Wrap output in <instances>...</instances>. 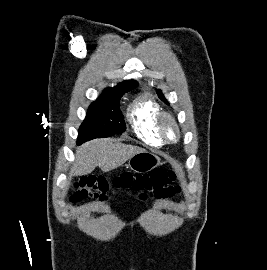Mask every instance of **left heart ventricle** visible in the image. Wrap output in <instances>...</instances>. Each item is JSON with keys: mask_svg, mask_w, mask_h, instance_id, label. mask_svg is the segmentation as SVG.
<instances>
[{"mask_svg": "<svg viewBox=\"0 0 267 270\" xmlns=\"http://www.w3.org/2000/svg\"><path fill=\"white\" fill-rule=\"evenodd\" d=\"M167 131H168V134L171 137H174L175 136V130H174V128H173V126L171 124H168L167 125Z\"/></svg>", "mask_w": 267, "mask_h": 270, "instance_id": "1", "label": "left heart ventricle"}]
</instances>
